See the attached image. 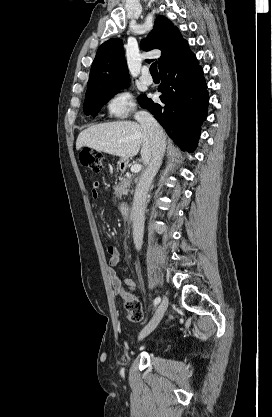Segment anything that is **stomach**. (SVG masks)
<instances>
[{"mask_svg": "<svg viewBox=\"0 0 272 417\" xmlns=\"http://www.w3.org/2000/svg\"><path fill=\"white\" fill-rule=\"evenodd\" d=\"M126 164H127V159L121 158L118 161V165H119L120 168L126 166Z\"/></svg>", "mask_w": 272, "mask_h": 417, "instance_id": "obj_1", "label": "stomach"}]
</instances>
